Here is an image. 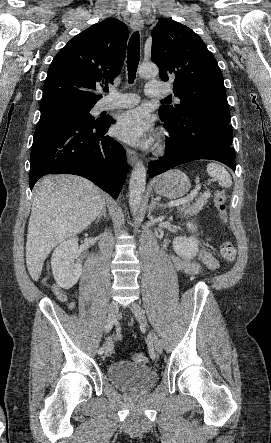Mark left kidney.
<instances>
[{"mask_svg":"<svg viewBox=\"0 0 271 443\" xmlns=\"http://www.w3.org/2000/svg\"><path fill=\"white\" fill-rule=\"evenodd\" d=\"M189 229H195L193 223H187ZM173 249L182 259H193L198 249V241L195 237H175L173 239Z\"/></svg>","mask_w":271,"mask_h":443,"instance_id":"obj_1","label":"left kidney"}]
</instances>
